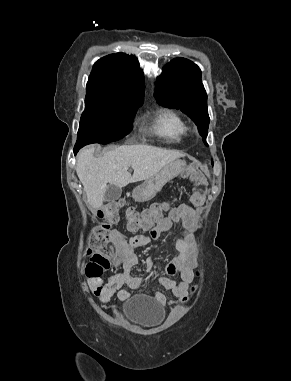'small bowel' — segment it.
<instances>
[{
	"instance_id": "c3829d8e",
	"label": "small bowel",
	"mask_w": 291,
	"mask_h": 381,
	"mask_svg": "<svg viewBox=\"0 0 291 381\" xmlns=\"http://www.w3.org/2000/svg\"><path fill=\"white\" fill-rule=\"evenodd\" d=\"M195 217V210L187 204H181L169 211L168 217L159 222L148 234L131 236L128 240L123 239L118 231H112L111 242L116 248V257L121 261L122 272L111 275L106 282L101 277H90L88 282L92 293L107 303L117 293L119 299L128 298V292L123 289L125 285L139 287L142 282L132 276L130 271L138 264V257L134 249L144 246L151 240H156L169 230L172 223L179 225L181 235L174 239L178 254L165 266L166 277L161 278L163 286L170 290L179 302L187 301V291L193 280V269L196 265L194 252V239L190 233ZM153 260H148L147 265L152 266ZM179 275L180 281L176 282L170 276ZM156 301L165 306L173 303L168 301L162 292L155 293Z\"/></svg>"
}]
</instances>
